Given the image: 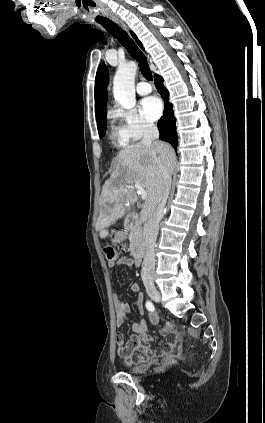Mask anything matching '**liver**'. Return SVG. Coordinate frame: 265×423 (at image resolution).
I'll list each match as a JSON object with an SVG mask.
<instances>
[{"label":"liver","instance_id":"liver-1","mask_svg":"<svg viewBox=\"0 0 265 423\" xmlns=\"http://www.w3.org/2000/svg\"><path fill=\"white\" fill-rule=\"evenodd\" d=\"M163 151L156 146H144L140 143L121 149L113 162L110 179L103 186L100 200V216L96 229L99 236H108L107 228L121 218L138 199L139 184L147 193V198L140 212V223L149 220L155 211L163 182L161 164L168 160L173 167L175 154L167 143Z\"/></svg>","mask_w":265,"mask_h":423}]
</instances>
